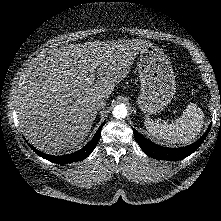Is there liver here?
<instances>
[{"label":"liver","mask_w":221,"mask_h":221,"mask_svg":"<svg viewBox=\"0 0 221 221\" xmlns=\"http://www.w3.org/2000/svg\"><path fill=\"white\" fill-rule=\"evenodd\" d=\"M152 45L141 39L94 41L55 50L26 79L19 98V124L40 151L59 153L81 144L93 123L92 104L106 99ZM95 71L98 80L88 79Z\"/></svg>","instance_id":"1"}]
</instances>
